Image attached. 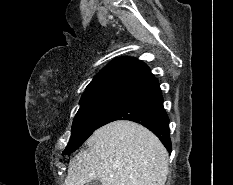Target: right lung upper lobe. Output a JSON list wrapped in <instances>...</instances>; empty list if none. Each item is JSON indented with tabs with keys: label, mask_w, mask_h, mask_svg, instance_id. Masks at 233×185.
<instances>
[{
	"label": "right lung upper lobe",
	"mask_w": 233,
	"mask_h": 185,
	"mask_svg": "<svg viewBox=\"0 0 233 185\" xmlns=\"http://www.w3.org/2000/svg\"><path fill=\"white\" fill-rule=\"evenodd\" d=\"M154 78L149 67L133 57L116 58L104 67L84 93L105 89L132 90Z\"/></svg>",
	"instance_id": "right-lung-upper-lobe-1"
}]
</instances>
